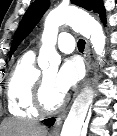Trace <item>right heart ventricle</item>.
Returning a JSON list of instances; mask_svg holds the SVG:
<instances>
[{"label": "right heart ventricle", "mask_w": 117, "mask_h": 136, "mask_svg": "<svg viewBox=\"0 0 117 136\" xmlns=\"http://www.w3.org/2000/svg\"><path fill=\"white\" fill-rule=\"evenodd\" d=\"M40 71L35 65L34 53L23 54L15 65L6 87L9 112L21 118L38 116L33 98Z\"/></svg>", "instance_id": "obj_1"}]
</instances>
